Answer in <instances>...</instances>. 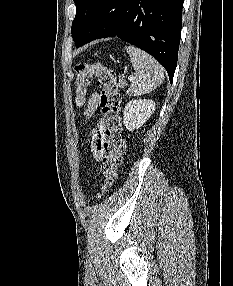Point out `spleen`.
<instances>
[{"label":"spleen","mask_w":233,"mask_h":286,"mask_svg":"<svg viewBox=\"0 0 233 286\" xmlns=\"http://www.w3.org/2000/svg\"><path fill=\"white\" fill-rule=\"evenodd\" d=\"M132 66L135 70V77L127 90L129 95L140 96L156 89L164 80V69L162 65L145 51L134 47L126 46Z\"/></svg>","instance_id":"obj_1"}]
</instances>
